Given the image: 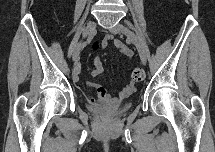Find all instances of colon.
<instances>
[{"label": "colon", "mask_w": 215, "mask_h": 152, "mask_svg": "<svg viewBox=\"0 0 215 152\" xmlns=\"http://www.w3.org/2000/svg\"><path fill=\"white\" fill-rule=\"evenodd\" d=\"M96 48H97V45L94 46V49H96ZM144 76H145V74H144L143 70L140 68H136L132 72V78L135 82H141L144 79Z\"/></svg>", "instance_id": "1"}]
</instances>
